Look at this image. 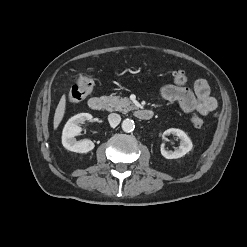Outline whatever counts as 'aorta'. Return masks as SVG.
I'll return each instance as SVG.
<instances>
[{"label": "aorta", "instance_id": "1", "mask_svg": "<svg viewBox=\"0 0 247 247\" xmlns=\"http://www.w3.org/2000/svg\"><path fill=\"white\" fill-rule=\"evenodd\" d=\"M135 128L134 121L132 119H125L122 122V129L124 132H132Z\"/></svg>", "mask_w": 247, "mask_h": 247}]
</instances>
